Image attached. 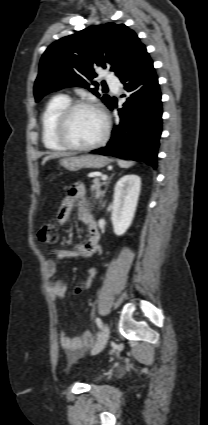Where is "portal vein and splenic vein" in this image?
<instances>
[{
  "label": "portal vein and splenic vein",
  "mask_w": 208,
  "mask_h": 425,
  "mask_svg": "<svg viewBox=\"0 0 208 425\" xmlns=\"http://www.w3.org/2000/svg\"><path fill=\"white\" fill-rule=\"evenodd\" d=\"M107 178H108V177H107V175H102V176H101V179H102L103 181L107 180Z\"/></svg>",
  "instance_id": "obj_1"
}]
</instances>
